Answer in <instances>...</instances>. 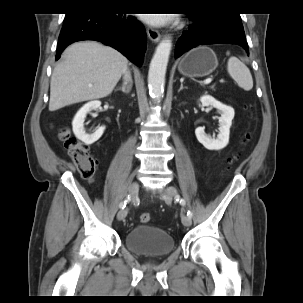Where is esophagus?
<instances>
[{
	"instance_id": "obj_1",
	"label": "esophagus",
	"mask_w": 303,
	"mask_h": 303,
	"mask_svg": "<svg viewBox=\"0 0 303 303\" xmlns=\"http://www.w3.org/2000/svg\"><path fill=\"white\" fill-rule=\"evenodd\" d=\"M146 32L150 40L153 41L154 43H158L160 41L161 35L159 31L156 30L155 28L148 26Z\"/></svg>"
}]
</instances>
